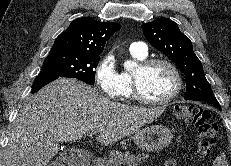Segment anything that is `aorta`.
<instances>
[{
	"label": "aorta",
	"mask_w": 231,
	"mask_h": 166,
	"mask_svg": "<svg viewBox=\"0 0 231 166\" xmlns=\"http://www.w3.org/2000/svg\"><path fill=\"white\" fill-rule=\"evenodd\" d=\"M137 67V63L135 61L127 60L124 63V68L126 71H132Z\"/></svg>",
	"instance_id": "aorta-1"
}]
</instances>
